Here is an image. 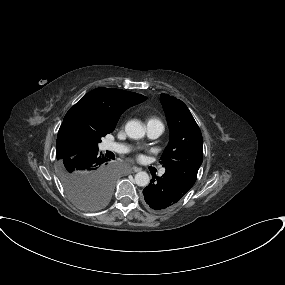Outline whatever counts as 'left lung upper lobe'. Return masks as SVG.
<instances>
[{
	"mask_svg": "<svg viewBox=\"0 0 285 285\" xmlns=\"http://www.w3.org/2000/svg\"><path fill=\"white\" fill-rule=\"evenodd\" d=\"M160 100L170 130L160 163L166 172L193 186L203 160L201 131L182 101L168 94H161Z\"/></svg>",
	"mask_w": 285,
	"mask_h": 285,
	"instance_id": "1",
	"label": "left lung upper lobe"
}]
</instances>
